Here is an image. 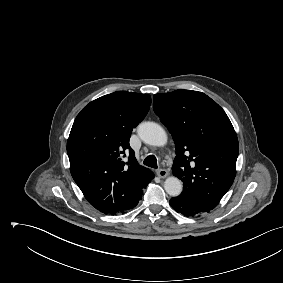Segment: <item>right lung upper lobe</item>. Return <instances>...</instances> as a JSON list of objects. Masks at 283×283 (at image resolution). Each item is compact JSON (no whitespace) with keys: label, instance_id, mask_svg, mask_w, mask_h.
Returning <instances> with one entry per match:
<instances>
[{"label":"right lung upper lobe","instance_id":"right-lung-upper-lobe-1","mask_svg":"<svg viewBox=\"0 0 283 283\" xmlns=\"http://www.w3.org/2000/svg\"><path fill=\"white\" fill-rule=\"evenodd\" d=\"M150 105L148 94L117 91L90 102L73 123L67 141L71 175L88 202L105 214L136 206L153 176L129 146Z\"/></svg>","mask_w":283,"mask_h":283}]
</instances>
